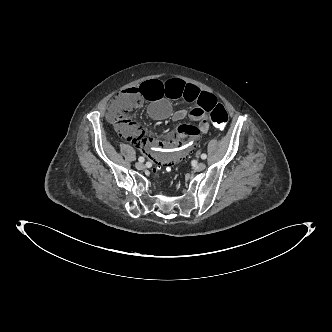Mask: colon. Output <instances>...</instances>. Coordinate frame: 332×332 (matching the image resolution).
I'll return each instance as SVG.
<instances>
[{
  "mask_svg": "<svg viewBox=\"0 0 332 332\" xmlns=\"http://www.w3.org/2000/svg\"><path fill=\"white\" fill-rule=\"evenodd\" d=\"M142 103L143 98L140 95V88L127 89L112 99L108 107V115L114 126L121 133L124 134L133 128L134 125L131 121V116L140 109ZM209 112L211 120L216 127L223 128L226 126L228 122V112L221 103L216 102ZM174 164L170 167H161L159 165L154 171L156 174L163 173L164 171L171 169Z\"/></svg>",
  "mask_w": 332,
  "mask_h": 332,
  "instance_id": "5ec220e1",
  "label": "colon"
}]
</instances>
